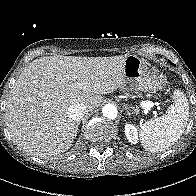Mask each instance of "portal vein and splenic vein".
<instances>
[{
	"mask_svg": "<svg viewBox=\"0 0 196 196\" xmlns=\"http://www.w3.org/2000/svg\"><path fill=\"white\" fill-rule=\"evenodd\" d=\"M141 104H142L144 107H146V108H151V107L154 105V103L151 102V101H143ZM154 114L156 115V111L154 112Z\"/></svg>",
	"mask_w": 196,
	"mask_h": 196,
	"instance_id": "1",
	"label": "portal vein and splenic vein"
}]
</instances>
